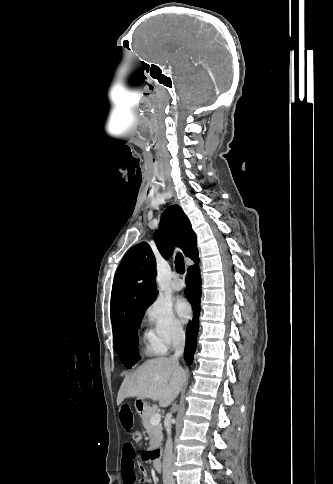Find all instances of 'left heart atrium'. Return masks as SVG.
Masks as SVG:
<instances>
[{"label":"left heart atrium","instance_id":"left-heart-atrium-1","mask_svg":"<svg viewBox=\"0 0 333 484\" xmlns=\"http://www.w3.org/2000/svg\"><path fill=\"white\" fill-rule=\"evenodd\" d=\"M175 310L178 316L186 321L191 315V306L184 298H178L175 302Z\"/></svg>","mask_w":333,"mask_h":484}]
</instances>
